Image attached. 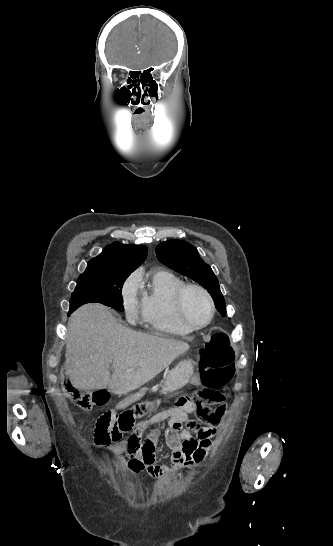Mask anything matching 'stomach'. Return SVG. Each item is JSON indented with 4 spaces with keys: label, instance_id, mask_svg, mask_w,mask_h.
<instances>
[{
    "label": "stomach",
    "instance_id": "obj_1",
    "mask_svg": "<svg viewBox=\"0 0 333 546\" xmlns=\"http://www.w3.org/2000/svg\"><path fill=\"white\" fill-rule=\"evenodd\" d=\"M196 366L197 363L192 359H185L180 361L165 376V379L161 386V392L164 394L170 393L188 383L190 380H188L187 377L190 374H194V369Z\"/></svg>",
    "mask_w": 333,
    "mask_h": 546
}]
</instances>
